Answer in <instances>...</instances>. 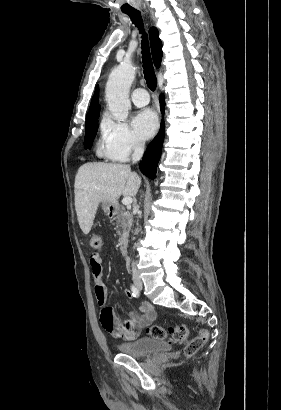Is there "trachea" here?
Instances as JSON below:
<instances>
[{"label": "trachea", "instance_id": "trachea-1", "mask_svg": "<svg viewBox=\"0 0 281 410\" xmlns=\"http://www.w3.org/2000/svg\"><path fill=\"white\" fill-rule=\"evenodd\" d=\"M132 22L138 27L140 33H144L143 29V20L141 17V13L139 11L135 12H127L126 13ZM142 60H143V68H144V75L146 83L150 90L154 91L157 87V78L154 72L150 49H149V42L147 39V35L143 34L142 36Z\"/></svg>", "mask_w": 281, "mask_h": 410}]
</instances>
